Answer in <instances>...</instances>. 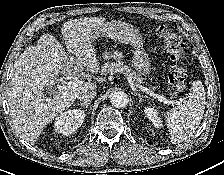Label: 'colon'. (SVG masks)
Returning a JSON list of instances; mask_svg holds the SVG:
<instances>
[{"mask_svg": "<svg viewBox=\"0 0 224 175\" xmlns=\"http://www.w3.org/2000/svg\"><path fill=\"white\" fill-rule=\"evenodd\" d=\"M156 35L164 41V47L173 65L168 71V89L172 94L182 92L186 87V71L180 66L185 56L181 39L166 26L156 28Z\"/></svg>", "mask_w": 224, "mask_h": 175, "instance_id": "1", "label": "colon"}]
</instances>
